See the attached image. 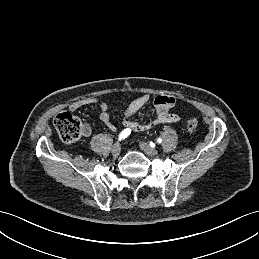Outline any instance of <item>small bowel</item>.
Listing matches in <instances>:
<instances>
[{
    "label": "small bowel",
    "instance_id": "c3829d8e",
    "mask_svg": "<svg viewBox=\"0 0 259 259\" xmlns=\"http://www.w3.org/2000/svg\"><path fill=\"white\" fill-rule=\"evenodd\" d=\"M150 96L148 94H143L133 100L127 107L124 115L123 125L134 131L141 132L149 130L155 125L163 123H175L180 120V117L177 114L171 113L170 109L175 104V99L169 95H158L154 99L155 106V118L148 123H138L132 120V117L149 101ZM97 104L100 110V119L101 121L110 129L115 130V126L111 122L112 112L109 110L108 103L100 98H84L72 102L69 105L71 111L80 109L83 106ZM82 133L84 136H89L91 134V127L88 123H84L82 126Z\"/></svg>",
    "mask_w": 259,
    "mask_h": 259
}]
</instances>
